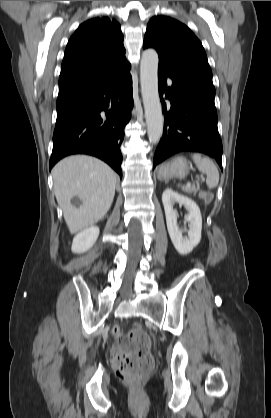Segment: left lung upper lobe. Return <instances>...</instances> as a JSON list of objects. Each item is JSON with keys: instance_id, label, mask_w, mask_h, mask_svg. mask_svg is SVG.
<instances>
[{"instance_id": "1", "label": "left lung upper lobe", "mask_w": 271, "mask_h": 418, "mask_svg": "<svg viewBox=\"0 0 271 418\" xmlns=\"http://www.w3.org/2000/svg\"><path fill=\"white\" fill-rule=\"evenodd\" d=\"M155 48L159 65L184 73L213 85L212 72L201 42L181 22L155 16L148 23L143 48Z\"/></svg>"}]
</instances>
